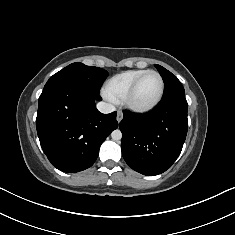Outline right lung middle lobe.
Here are the masks:
<instances>
[{
    "instance_id": "obj_1",
    "label": "right lung middle lobe",
    "mask_w": 235,
    "mask_h": 235,
    "mask_svg": "<svg viewBox=\"0 0 235 235\" xmlns=\"http://www.w3.org/2000/svg\"><path fill=\"white\" fill-rule=\"evenodd\" d=\"M107 76L108 72L104 69L76 62L51 76L43 90L57 86L73 85L99 93L101 84Z\"/></svg>"
}]
</instances>
